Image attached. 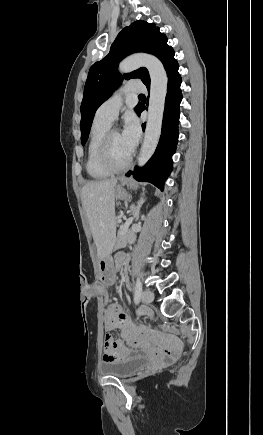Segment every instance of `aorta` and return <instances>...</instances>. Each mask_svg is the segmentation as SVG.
Returning <instances> with one entry per match:
<instances>
[{
  "mask_svg": "<svg viewBox=\"0 0 263 435\" xmlns=\"http://www.w3.org/2000/svg\"><path fill=\"white\" fill-rule=\"evenodd\" d=\"M139 67L147 68L151 80L147 124L138 157V165L143 166L154 154L160 138L168 78L160 60L148 54L127 57L120 63L119 71L128 73Z\"/></svg>",
  "mask_w": 263,
  "mask_h": 435,
  "instance_id": "obj_1",
  "label": "aorta"
}]
</instances>
